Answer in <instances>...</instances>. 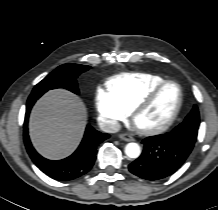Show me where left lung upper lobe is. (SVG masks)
I'll use <instances>...</instances> for the list:
<instances>
[{
	"instance_id": "left-lung-upper-lobe-1",
	"label": "left lung upper lobe",
	"mask_w": 218,
	"mask_h": 210,
	"mask_svg": "<svg viewBox=\"0 0 218 210\" xmlns=\"http://www.w3.org/2000/svg\"><path fill=\"white\" fill-rule=\"evenodd\" d=\"M179 126L180 128L186 129L180 131H186L185 135L190 136V138H192L194 142L196 141L198 127H199V111L196 105H194L192 111L185 118L184 122L181 123ZM176 131H177V127L173 129L170 133L174 134Z\"/></svg>"
}]
</instances>
